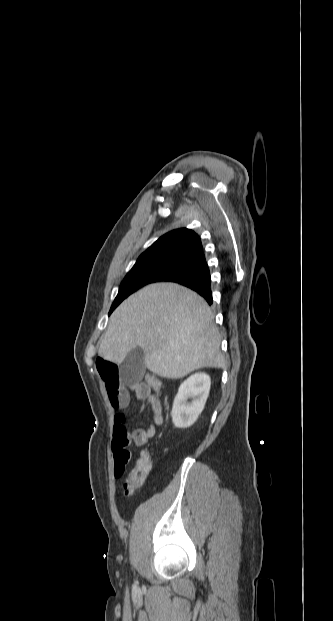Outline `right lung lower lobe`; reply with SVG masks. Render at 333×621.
<instances>
[{"label":"right lung lower lobe","instance_id":"98d812e1","mask_svg":"<svg viewBox=\"0 0 333 621\" xmlns=\"http://www.w3.org/2000/svg\"><path fill=\"white\" fill-rule=\"evenodd\" d=\"M160 281L184 285L196 291L209 304H212L210 271L203 250L187 258L178 269L167 274Z\"/></svg>","mask_w":333,"mask_h":621}]
</instances>
